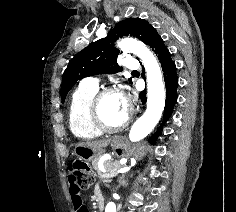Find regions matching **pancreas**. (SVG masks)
Returning <instances> with one entry per match:
<instances>
[{
  "instance_id": "1",
  "label": "pancreas",
  "mask_w": 236,
  "mask_h": 212,
  "mask_svg": "<svg viewBox=\"0 0 236 212\" xmlns=\"http://www.w3.org/2000/svg\"><path fill=\"white\" fill-rule=\"evenodd\" d=\"M92 166L98 172V177L100 179L104 178L103 177L104 173H102L98 168V159L93 160ZM104 166H105L106 171H114V170H117V169L121 168V165L117 160H115V161H113V160L105 161Z\"/></svg>"
}]
</instances>
